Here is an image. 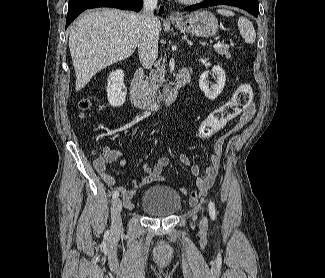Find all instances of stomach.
Masks as SVG:
<instances>
[{"label":"stomach","instance_id":"obj_1","mask_svg":"<svg viewBox=\"0 0 325 278\" xmlns=\"http://www.w3.org/2000/svg\"><path fill=\"white\" fill-rule=\"evenodd\" d=\"M172 23L181 31L200 37H212L219 29L216 17L206 10L192 12Z\"/></svg>","mask_w":325,"mask_h":278}]
</instances>
